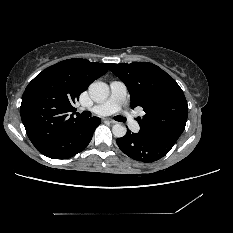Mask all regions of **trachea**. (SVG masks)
<instances>
[{
	"instance_id": "1",
	"label": "trachea",
	"mask_w": 233,
	"mask_h": 233,
	"mask_svg": "<svg viewBox=\"0 0 233 233\" xmlns=\"http://www.w3.org/2000/svg\"><path fill=\"white\" fill-rule=\"evenodd\" d=\"M82 116L85 117V118H88V117L91 116V112H90V111H84V112L82 113ZM115 120L120 121V122H124V121H125L124 118H123L122 116H116V117H115Z\"/></svg>"
}]
</instances>
